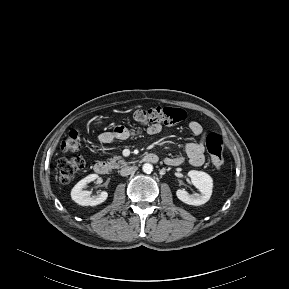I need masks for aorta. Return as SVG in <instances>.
Returning <instances> with one entry per match:
<instances>
[{"label":"aorta","instance_id":"aorta-1","mask_svg":"<svg viewBox=\"0 0 289 289\" xmlns=\"http://www.w3.org/2000/svg\"><path fill=\"white\" fill-rule=\"evenodd\" d=\"M142 169L144 173L150 174L153 171V165L150 163H145Z\"/></svg>","mask_w":289,"mask_h":289}]
</instances>
